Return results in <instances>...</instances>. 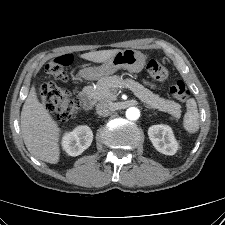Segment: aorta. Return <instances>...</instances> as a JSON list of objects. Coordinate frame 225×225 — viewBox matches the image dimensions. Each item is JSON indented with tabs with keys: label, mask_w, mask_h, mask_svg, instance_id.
<instances>
[{
	"label": "aorta",
	"mask_w": 225,
	"mask_h": 225,
	"mask_svg": "<svg viewBox=\"0 0 225 225\" xmlns=\"http://www.w3.org/2000/svg\"><path fill=\"white\" fill-rule=\"evenodd\" d=\"M140 117V111L136 107H130L126 110V118L135 121Z\"/></svg>",
	"instance_id": "aorta-1"
}]
</instances>
